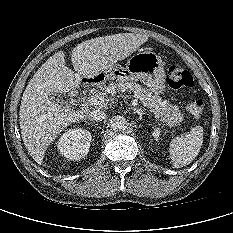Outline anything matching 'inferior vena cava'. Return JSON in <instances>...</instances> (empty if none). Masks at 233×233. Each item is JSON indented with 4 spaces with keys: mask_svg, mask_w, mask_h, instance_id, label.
<instances>
[{
    "mask_svg": "<svg viewBox=\"0 0 233 233\" xmlns=\"http://www.w3.org/2000/svg\"><path fill=\"white\" fill-rule=\"evenodd\" d=\"M88 117L93 121H102L106 118V113L102 110H92L88 113Z\"/></svg>",
    "mask_w": 233,
    "mask_h": 233,
    "instance_id": "602c4592",
    "label": "inferior vena cava"
}]
</instances>
